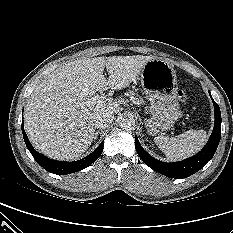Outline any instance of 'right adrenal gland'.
I'll return each instance as SVG.
<instances>
[{"instance_id":"obj_1","label":"right adrenal gland","mask_w":233,"mask_h":233,"mask_svg":"<svg viewBox=\"0 0 233 233\" xmlns=\"http://www.w3.org/2000/svg\"><path fill=\"white\" fill-rule=\"evenodd\" d=\"M98 134H99V130H97V131L95 132V135H94V141L97 139Z\"/></svg>"}]
</instances>
